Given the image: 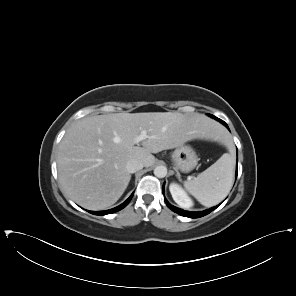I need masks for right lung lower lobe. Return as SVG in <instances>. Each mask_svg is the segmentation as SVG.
<instances>
[{
	"label": "right lung lower lobe",
	"mask_w": 296,
	"mask_h": 296,
	"mask_svg": "<svg viewBox=\"0 0 296 296\" xmlns=\"http://www.w3.org/2000/svg\"><path fill=\"white\" fill-rule=\"evenodd\" d=\"M132 196H133V194L124 203H122L121 205H119L113 209L106 210V211H98V212L90 211V213L95 214V215H106V214H111V213L117 212V211L123 209L130 202Z\"/></svg>",
	"instance_id": "right-lung-lower-lobe-1"
}]
</instances>
